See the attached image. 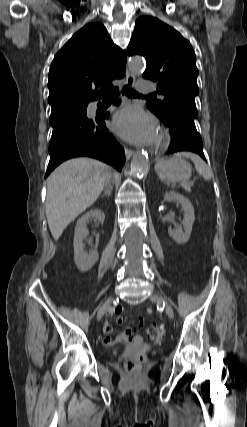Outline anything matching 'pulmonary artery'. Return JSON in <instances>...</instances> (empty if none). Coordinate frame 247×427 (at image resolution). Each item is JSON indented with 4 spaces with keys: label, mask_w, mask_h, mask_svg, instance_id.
I'll return each instance as SVG.
<instances>
[{
    "label": "pulmonary artery",
    "mask_w": 247,
    "mask_h": 427,
    "mask_svg": "<svg viewBox=\"0 0 247 427\" xmlns=\"http://www.w3.org/2000/svg\"><path fill=\"white\" fill-rule=\"evenodd\" d=\"M138 89L140 91H153L154 90V86L147 82V81H143L139 84Z\"/></svg>",
    "instance_id": "pulmonary-artery-1"
}]
</instances>
